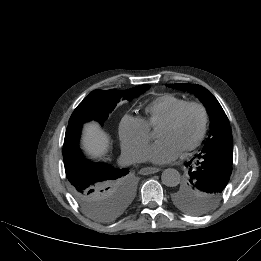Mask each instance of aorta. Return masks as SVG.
Masks as SVG:
<instances>
[{
	"mask_svg": "<svg viewBox=\"0 0 261 261\" xmlns=\"http://www.w3.org/2000/svg\"><path fill=\"white\" fill-rule=\"evenodd\" d=\"M180 173L174 168L165 169L162 172V183L168 187H175L180 183Z\"/></svg>",
	"mask_w": 261,
	"mask_h": 261,
	"instance_id": "762f6f07",
	"label": "aorta"
}]
</instances>
